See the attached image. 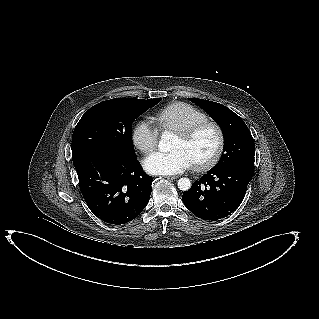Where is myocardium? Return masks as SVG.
I'll list each match as a JSON object with an SVG mask.
<instances>
[{
	"mask_svg": "<svg viewBox=\"0 0 319 319\" xmlns=\"http://www.w3.org/2000/svg\"><path fill=\"white\" fill-rule=\"evenodd\" d=\"M205 128H211L215 132L216 135V147L212 153V155L205 161L192 163V167L196 171H207L213 168L221 159L222 154L224 152L225 147V134L222 127L215 121L212 120H204L197 122L183 130L175 132L177 136L182 138L183 140H190L196 134H198L201 130Z\"/></svg>",
	"mask_w": 319,
	"mask_h": 319,
	"instance_id": "f54148a6",
	"label": "myocardium"
}]
</instances>
